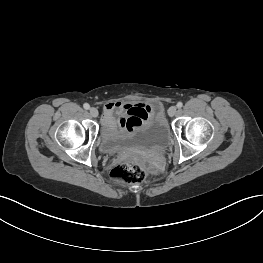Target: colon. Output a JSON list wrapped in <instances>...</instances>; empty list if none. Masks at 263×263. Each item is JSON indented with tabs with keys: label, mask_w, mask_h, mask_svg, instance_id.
Segmentation results:
<instances>
[{
	"label": "colon",
	"mask_w": 263,
	"mask_h": 263,
	"mask_svg": "<svg viewBox=\"0 0 263 263\" xmlns=\"http://www.w3.org/2000/svg\"><path fill=\"white\" fill-rule=\"evenodd\" d=\"M111 176L127 184L140 183L144 179L142 158L138 155L128 158L113 168Z\"/></svg>",
	"instance_id": "5ec220e1"
}]
</instances>
